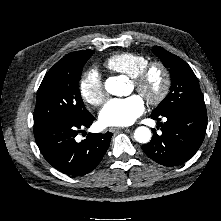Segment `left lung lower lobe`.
I'll return each instance as SVG.
<instances>
[{"label":"left lung lower lobe","instance_id":"left-lung-lower-lobe-1","mask_svg":"<svg viewBox=\"0 0 221 221\" xmlns=\"http://www.w3.org/2000/svg\"><path fill=\"white\" fill-rule=\"evenodd\" d=\"M152 119L167 121L159 125L162 134L154 129L152 140L143 151L155 162L167 167L189 160L201 146L207 126V111L203 108H182L163 115L151 114Z\"/></svg>","mask_w":221,"mask_h":221}]
</instances>
